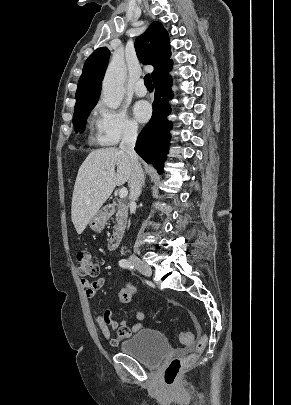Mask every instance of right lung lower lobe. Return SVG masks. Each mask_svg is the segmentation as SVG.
<instances>
[{
  "instance_id": "obj_1",
  "label": "right lung lower lobe",
  "mask_w": 291,
  "mask_h": 405,
  "mask_svg": "<svg viewBox=\"0 0 291 405\" xmlns=\"http://www.w3.org/2000/svg\"><path fill=\"white\" fill-rule=\"evenodd\" d=\"M169 75L157 78L154 81L155 99L153 102V114L149 123L143 128L138 136L135 151L148 163L152 164L161 174L164 161L169 149L171 121L167 116L170 114L168 99L173 97Z\"/></svg>"
}]
</instances>
